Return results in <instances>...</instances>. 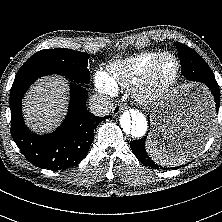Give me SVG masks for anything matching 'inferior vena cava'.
Returning <instances> with one entry per match:
<instances>
[{
    "label": "inferior vena cava",
    "mask_w": 222,
    "mask_h": 222,
    "mask_svg": "<svg viewBox=\"0 0 222 222\" xmlns=\"http://www.w3.org/2000/svg\"><path fill=\"white\" fill-rule=\"evenodd\" d=\"M89 108L97 116H105L113 110V101L104 95H94L89 102Z\"/></svg>",
    "instance_id": "obj_1"
}]
</instances>
